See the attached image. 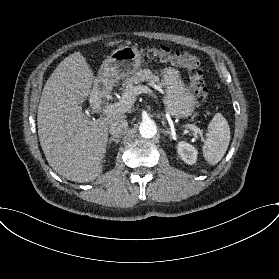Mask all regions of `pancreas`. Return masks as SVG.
Returning <instances> with one entry per match:
<instances>
[{
    "instance_id": "1",
    "label": "pancreas",
    "mask_w": 279,
    "mask_h": 279,
    "mask_svg": "<svg viewBox=\"0 0 279 279\" xmlns=\"http://www.w3.org/2000/svg\"><path fill=\"white\" fill-rule=\"evenodd\" d=\"M142 82H148V83H155L158 84L159 78L154 76L149 69H140L135 76L130 77L127 81H125L124 86H126L125 89H123L124 94L132 92L135 88V85L142 83ZM133 101L135 99V96L132 97ZM124 106V105H122ZM132 104H128L124 107L127 109L130 108Z\"/></svg>"
}]
</instances>
